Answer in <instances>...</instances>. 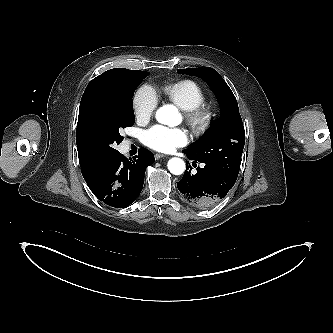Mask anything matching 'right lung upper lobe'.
Listing matches in <instances>:
<instances>
[{"instance_id":"right-lung-upper-lobe-1","label":"right lung upper lobe","mask_w":333,"mask_h":333,"mask_svg":"<svg viewBox=\"0 0 333 333\" xmlns=\"http://www.w3.org/2000/svg\"><path fill=\"white\" fill-rule=\"evenodd\" d=\"M136 70L114 68L94 78L86 87L79 107V116L76 129V143L78 158L82 175L89 181L107 162L95 159L84 145V129L91 113L96 96L106 88L116 84L119 80L133 74Z\"/></svg>"}]
</instances>
